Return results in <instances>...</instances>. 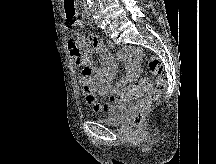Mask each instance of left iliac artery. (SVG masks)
<instances>
[{"label":"left iliac artery","mask_w":216,"mask_h":164,"mask_svg":"<svg viewBox=\"0 0 216 164\" xmlns=\"http://www.w3.org/2000/svg\"><path fill=\"white\" fill-rule=\"evenodd\" d=\"M94 19L98 27H100L101 29H105L106 24L103 19H101L99 16H95Z\"/></svg>","instance_id":"44dca946"}]
</instances>
